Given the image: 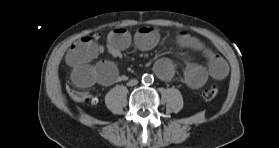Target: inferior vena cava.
Here are the masks:
<instances>
[{
    "mask_svg": "<svg viewBox=\"0 0 279 148\" xmlns=\"http://www.w3.org/2000/svg\"><path fill=\"white\" fill-rule=\"evenodd\" d=\"M137 84H138V80H136V79L130 80V81L127 83L128 86H135V85H137Z\"/></svg>",
    "mask_w": 279,
    "mask_h": 148,
    "instance_id": "obj_1",
    "label": "inferior vena cava"
}]
</instances>
